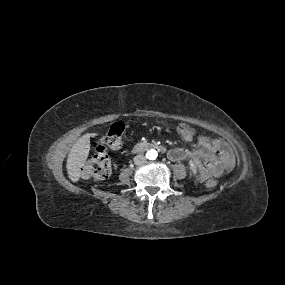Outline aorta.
<instances>
[{
  "mask_svg": "<svg viewBox=\"0 0 285 285\" xmlns=\"http://www.w3.org/2000/svg\"><path fill=\"white\" fill-rule=\"evenodd\" d=\"M146 157L149 160H155L158 157V152L155 149H150L147 151Z\"/></svg>",
  "mask_w": 285,
  "mask_h": 285,
  "instance_id": "1",
  "label": "aorta"
}]
</instances>
